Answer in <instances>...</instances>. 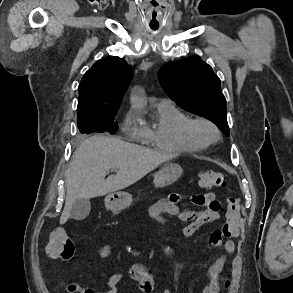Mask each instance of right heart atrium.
<instances>
[{
  "instance_id": "1",
  "label": "right heart atrium",
  "mask_w": 293,
  "mask_h": 293,
  "mask_svg": "<svg viewBox=\"0 0 293 293\" xmlns=\"http://www.w3.org/2000/svg\"><path fill=\"white\" fill-rule=\"evenodd\" d=\"M123 128L132 132L134 135L140 137L141 132L138 125V115L134 110H130L126 113L123 120Z\"/></svg>"
}]
</instances>
